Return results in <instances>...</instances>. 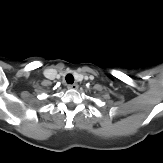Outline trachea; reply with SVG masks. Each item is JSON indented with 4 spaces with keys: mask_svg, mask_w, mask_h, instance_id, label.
Returning <instances> with one entry per match:
<instances>
[{
    "mask_svg": "<svg viewBox=\"0 0 163 163\" xmlns=\"http://www.w3.org/2000/svg\"><path fill=\"white\" fill-rule=\"evenodd\" d=\"M65 79H66V82L68 84H73L74 83V77H73L72 74H67Z\"/></svg>",
    "mask_w": 163,
    "mask_h": 163,
    "instance_id": "trachea-1",
    "label": "trachea"
}]
</instances>
